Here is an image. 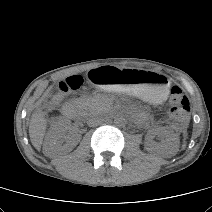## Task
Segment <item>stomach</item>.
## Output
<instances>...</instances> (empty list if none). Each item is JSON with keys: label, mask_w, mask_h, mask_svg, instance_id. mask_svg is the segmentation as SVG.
Returning <instances> with one entry per match:
<instances>
[{"label": "stomach", "mask_w": 212, "mask_h": 212, "mask_svg": "<svg viewBox=\"0 0 212 212\" xmlns=\"http://www.w3.org/2000/svg\"><path fill=\"white\" fill-rule=\"evenodd\" d=\"M85 75L97 86H108L152 103L163 102L169 93V80L166 76L138 68L122 70L118 65L107 64L89 68Z\"/></svg>", "instance_id": "0dacf381"}]
</instances>
